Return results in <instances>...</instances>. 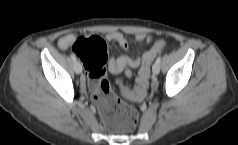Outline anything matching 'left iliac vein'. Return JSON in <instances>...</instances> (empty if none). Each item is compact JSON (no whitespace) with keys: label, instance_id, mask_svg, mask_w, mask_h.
<instances>
[{"label":"left iliac vein","instance_id":"obj_1","mask_svg":"<svg viewBox=\"0 0 238 145\" xmlns=\"http://www.w3.org/2000/svg\"><path fill=\"white\" fill-rule=\"evenodd\" d=\"M152 72L154 75H158L160 72V65L158 63H154L152 66Z\"/></svg>","mask_w":238,"mask_h":145}]
</instances>
